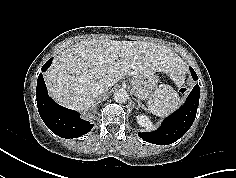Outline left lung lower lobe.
I'll list each match as a JSON object with an SVG mask.
<instances>
[{
    "label": "left lung lower lobe",
    "mask_w": 236,
    "mask_h": 178,
    "mask_svg": "<svg viewBox=\"0 0 236 178\" xmlns=\"http://www.w3.org/2000/svg\"><path fill=\"white\" fill-rule=\"evenodd\" d=\"M194 80L198 77L195 71L190 67ZM199 85H195L186 99L185 104L166 118L161 127L153 132L139 133V136L150 143L158 145H168L181 138L193 124L199 104Z\"/></svg>",
    "instance_id": "0a47b994"
}]
</instances>
